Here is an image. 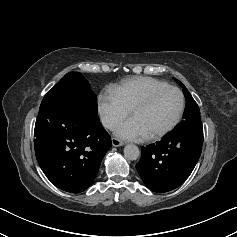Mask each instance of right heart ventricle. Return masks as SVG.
Here are the masks:
<instances>
[{
  "instance_id": "e07e8e85",
  "label": "right heart ventricle",
  "mask_w": 237,
  "mask_h": 237,
  "mask_svg": "<svg viewBox=\"0 0 237 237\" xmlns=\"http://www.w3.org/2000/svg\"><path fill=\"white\" fill-rule=\"evenodd\" d=\"M168 85L166 82L152 77H133L114 85L110 90L116 94L124 107L129 110L131 106L153 89Z\"/></svg>"
}]
</instances>
